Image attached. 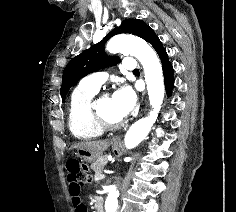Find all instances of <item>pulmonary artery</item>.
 <instances>
[{
	"mask_svg": "<svg viewBox=\"0 0 236 212\" xmlns=\"http://www.w3.org/2000/svg\"><path fill=\"white\" fill-rule=\"evenodd\" d=\"M123 66L128 71H133L137 68V62L131 58H125ZM107 75L104 72L93 73L82 80L85 86L99 89L101 85L106 81Z\"/></svg>",
	"mask_w": 236,
	"mask_h": 212,
	"instance_id": "e3ab8cb5",
	"label": "pulmonary artery"
}]
</instances>
